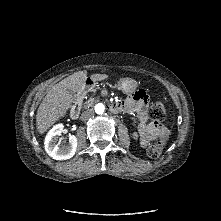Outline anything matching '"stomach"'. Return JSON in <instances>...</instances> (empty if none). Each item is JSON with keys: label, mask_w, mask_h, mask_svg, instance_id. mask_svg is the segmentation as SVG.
I'll list each match as a JSON object with an SVG mask.
<instances>
[{"label": "stomach", "mask_w": 221, "mask_h": 221, "mask_svg": "<svg viewBox=\"0 0 221 221\" xmlns=\"http://www.w3.org/2000/svg\"><path fill=\"white\" fill-rule=\"evenodd\" d=\"M118 87L125 94H132L138 87V82L132 78H123L118 83Z\"/></svg>", "instance_id": "1"}]
</instances>
